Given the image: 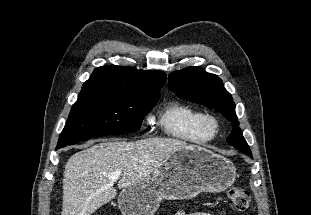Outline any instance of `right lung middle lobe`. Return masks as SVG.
<instances>
[{
    "label": "right lung middle lobe",
    "instance_id": "1",
    "mask_svg": "<svg viewBox=\"0 0 311 215\" xmlns=\"http://www.w3.org/2000/svg\"><path fill=\"white\" fill-rule=\"evenodd\" d=\"M158 100L159 97L81 91L60 134L56 150L95 136L135 132Z\"/></svg>",
    "mask_w": 311,
    "mask_h": 215
}]
</instances>
